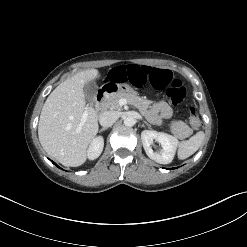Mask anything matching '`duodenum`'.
Masks as SVG:
<instances>
[{
	"label": "duodenum",
	"mask_w": 247,
	"mask_h": 247,
	"mask_svg": "<svg viewBox=\"0 0 247 247\" xmlns=\"http://www.w3.org/2000/svg\"><path fill=\"white\" fill-rule=\"evenodd\" d=\"M116 90V87L114 85H106L103 88H101L97 95H96V108L98 110H102L103 109V101L105 99V97L111 93L114 92Z\"/></svg>",
	"instance_id": "duodenum-1"
}]
</instances>
